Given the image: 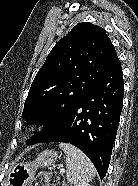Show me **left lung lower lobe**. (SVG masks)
<instances>
[{
  "mask_svg": "<svg viewBox=\"0 0 138 186\" xmlns=\"http://www.w3.org/2000/svg\"><path fill=\"white\" fill-rule=\"evenodd\" d=\"M123 90L119 61L95 83L57 130L37 143L64 142L76 146L88 156L103 179L117 134Z\"/></svg>",
  "mask_w": 138,
  "mask_h": 186,
  "instance_id": "1",
  "label": "left lung lower lobe"
}]
</instances>
